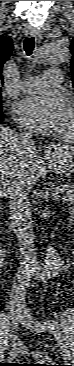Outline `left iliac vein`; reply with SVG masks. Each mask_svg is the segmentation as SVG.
<instances>
[{
  "label": "left iliac vein",
  "mask_w": 74,
  "mask_h": 366,
  "mask_svg": "<svg viewBox=\"0 0 74 366\" xmlns=\"http://www.w3.org/2000/svg\"><path fill=\"white\" fill-rule=\"evenodd\" d=\"M23 325H25L27 328L35 331V332H44L48 328L47 326L40 323L38 320H35L26 310L23 312V320L21 322ZM62 350V356L64 359L70 358V351L66 347V345H61Z\"/></svg>",
  "instance_id": "1"
}]
</instances>
